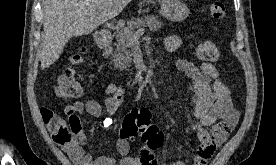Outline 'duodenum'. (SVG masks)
I'll return each mask as SVG.
<instances>
[{"label": "duodenum", "mask_w": 276, "mask_h": 165, "mask_svg": "<svg viewBox=\"0 0 276 165\" xmlns=\"http://www.w3.org/2000/svg\"><path fill=\"white\" fill-rule=\"evenodd\" d=\"M96 41L101 48H107L111 42V36L106 32H98L96 34Z\"/></svg>", "instance_id": "duodenum-1"}]
</instances>
